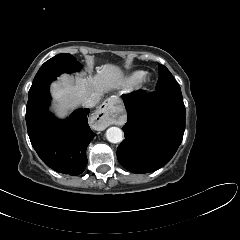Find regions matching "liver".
Instances as JSON below:
<instances>
[{"label": "liver", "mask_w": 240, "mask_h": 240, "mask_svg": "<svg viewBox=\"0 0 240 240\" xmlns=\"http://www.w3.org/2000/svg\"><path fill=\"white\" fill-rule=\"evenodd\" d=\"M96 75L76 77L61 75L51 85V95L55 101L53 111L59 118H64L70 109L76 108L93 94L102 96L111 90L124 87V73L120 67L105 64L96 68Z\"/></svg>", "instance_id": "liver-1"}]
</instances>
